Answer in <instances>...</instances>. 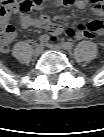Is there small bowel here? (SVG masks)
Returning a JSON list of instances; mask_svg holds the SVG:
<instances>
[{"label": "small bowel", "instance_id": "small-bowel-1", "mask_svg": "<svg viewBox=\"0 0 104 137\" xmlns=\"http://www.w3.org/2000/svg\"><path fill=\"white\" fill-rule=\"evenodd\" d=\"M27 4L30 6V10L32 8H39L41 7L46 0H25ZM56 5H62V6H69L74 5L75 7L79 9H91L95 15V20H100L103 16V5L102 0H55ZM19 9L18 3H5L4 6L0 9V23L1 26H7L9 24V13L11 10ZM21 11L20 15V23L23 28H28L34 25H39L40 27H48L49 22L46 20H40L34 18L32 15L29 14V11ZM94 21V20H92ZM90 21L89 23H91ZM88 24V23H87ZM87 24H79L74 28H69L74 31V35H76L77 38H89L92 39L97 35L101 34V30H90L87 28ZM65 30L62 27H53V32L55 34H60L64 32ZM16 37V31L14 29V32L10 35L6 36L1 42H0V48L3 52H7L9 50V45Z\"/></svg>", "mask_w": 104, "mask_h": 137}]
</instances>
